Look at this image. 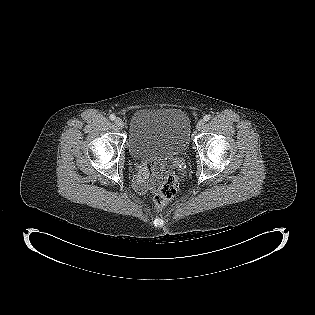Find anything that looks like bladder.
I'll return each instance as SVG.
<instances>
[{
    "label": "bladder",
    "mask_w": 315,
    "mask_h": 315,
    "mask_svg": "<svg viewBox=\"0 0 315 315\" xmlns=\"http://www.w3.org/2000/svg\"><path fill=\"white\" fill-rule=\"evenodd\" d=\"M190 136V120L183 110L145 108L131 117L128 148L137 160L166 159L185 153Z\"/></svg>",
    "instance_id": "obj_1"
}]
</instances>
